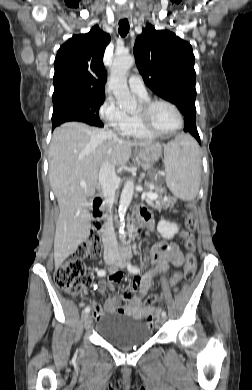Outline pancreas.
<instances>
[{"label":"pancreas","instance_id":"cf45deb5","mask_svg":"<svg viewBox=\"0 0 252 390\" xmlns=\"http://www.w3.org/2000/svg\"><path fill=\"white\" fill-rule=\"evenodd\" d=\"M176 200L174 198L168 197L167 202H155L156 206L154 207L157 210H161L162 208L167 209L172 207L175 204Z\"/></svg>","mask_w":252,"mask_h":390}]
</instances>
